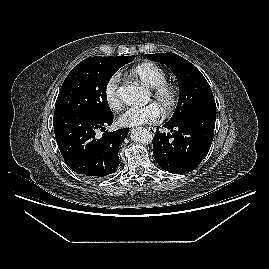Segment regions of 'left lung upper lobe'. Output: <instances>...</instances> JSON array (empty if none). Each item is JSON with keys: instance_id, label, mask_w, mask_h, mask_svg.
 <instances>
[{"instance_id": "left-lung-upper-lobe-1", "label": "left lung upper lobe", "mask_w": 269, "mask_h": 269, "mask_svg": "<svg viewBox=\"0 0 269 269\" xmlns=\"http://www.w3.org/2000/svg\"><path fill=\"white\" fill-rule=\"evenodd\" d=\"M144 57L166 64L178 79L179 100L168 123L180 122L202 110H216L213 93L207 80L189 61L175 53L145 54Z\"/></svg>"}]
</instances>
